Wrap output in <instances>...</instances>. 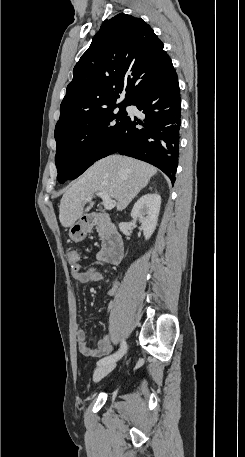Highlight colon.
<instances>
[{"label":"colon","mask_w":245,"mask_h":457,"mask_svg":"<svg viewBox=\"0 0 245 457\" xmlns=\"http://www.w3.org/2000/svg\"><path fill=\"white\" fill-rule=\"evenodd\" d=\"M68 261L72 265L73 269H80L79 259L80 255L79 252L76 250H72L68 252Z\"/></svg>","instance_id":"5ec220e1"}]
</instances>
